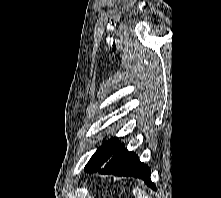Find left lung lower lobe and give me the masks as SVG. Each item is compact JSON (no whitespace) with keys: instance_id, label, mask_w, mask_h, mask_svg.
Returning <instances> with one entry per match:
<instances>
[{"instance_id":"1","label":"left lung lower lobe","mask_w":221,"mask_h":198,"mask_svg":"<svg viewBox=\"0 0 221 198\" xmlns=\"http://www.w3.org/2000/svg\"><path fill=\"white\" fill-rule=\"evenodd\" d=\"M99 173L138 177L143 179L151 188L156 189L150 179V169L140 162L134 152H128L124 144L111 156L99 170Z\"/></svg>"}]
</instances>
